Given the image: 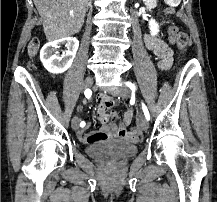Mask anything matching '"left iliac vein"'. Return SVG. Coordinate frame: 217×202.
I'll use <instances>...</instances> for the list:
<instances>
[{
  "label": "left iliac vein",
  "instance_id": "1",
  "mask_svg": "<svg viewBox=\"0 0 217 202\" xmlns=\"http://www.w3.org/2000/svg\"><path fill=\"white\" fill-rule=\"evenodd\" d=\"M111 94L114 96H120L122 98H127L131 94V91L129 90V88L125 86H121V87H117L114 90H112ZM139 125L144 131H147L149 124L144 114H142L139 119Z\"/></svg>",
  "mask_w": 217,
  "mask_h": 202
}]
</instances>
